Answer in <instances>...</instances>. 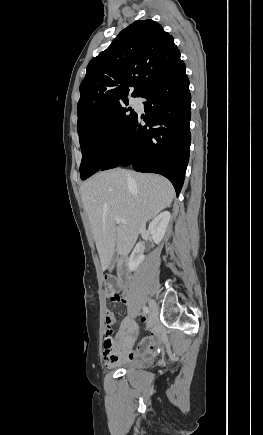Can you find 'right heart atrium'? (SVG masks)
Instances as JSON below:
<instances>
[{
	"mask_svg": "<svg viewBox=\"0 0 263 435\" xmlns=\"http://www.w3.org/2000/svg\"><path fill=\"white\" fill-rule=\"evenodd\" d=\"M118 140L119 136L116 129L110 128L103 137V146L105 149L111 150L117 145Z\"/></svg>",
	"mask_w": 263,
	"mask_h": 435,
	"instance_id": "right-heart-atrium-1",
	"label": "right heart atrium"
}]
</instances>
